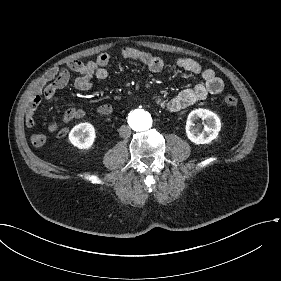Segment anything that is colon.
Returning a JSON list of instances; mask_svg holds the SVG:
<instances>
[{"label":"colon","instance_id":"5ec220e1","mask_svg":"<svg viewBox=\"0 0 281 281\" xmlns=\"http://www.w3.org/2000/svg\"><path fill=\"white\" fill-rule=\"evenodd\" d=\"M224 102L228 106H235L238 103V99L235 96H225L224 97ZM61 135H64V132H61Z\"/></svg>","mask_w":281,"mask_h":281}]
</instances>
